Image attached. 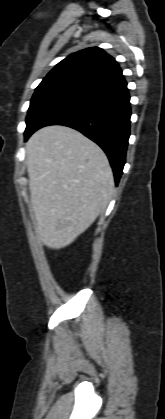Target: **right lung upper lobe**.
<instances>
[{
	"label": "right lung upper lobe",
	"instance_id": "right-lung-upper-lobe-1",
	"mask_svg": "<svg viewBox=\"0 0 165 419\" xmlns=\"http://www.w3.org/2000/svg\"><path fill=\"white\" fill-rule=\"evenodd\" d=\"M124 79L118 63L101 48L69 55L42 80L37 89L61 87L90 94Z\"/></svg>",
	"mask_w": 165,
	"mask_h": 419
}]
</instances>
